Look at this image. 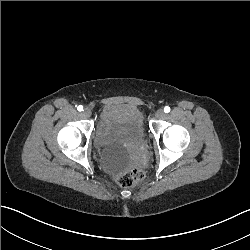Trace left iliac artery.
<instances>
[{
	"label": "left iliac artery",
	"instance_id": "44dca946",
	"mask_svg": "<svg viewBox=\"0 0 250 250\" xmlns=\"http://www.w3.org/2000/svg\"><path fill=\"white\" fill-rule=\"evenodd\" d=\"M164 112H165V113L170 112V107L166 106V107L164 108Z\"/></svg>",
	"mask_w": 250,
	"mask_h": 250
}]
</instances>
